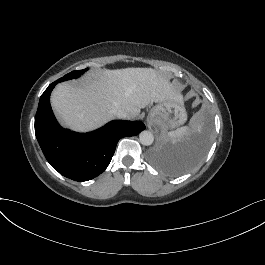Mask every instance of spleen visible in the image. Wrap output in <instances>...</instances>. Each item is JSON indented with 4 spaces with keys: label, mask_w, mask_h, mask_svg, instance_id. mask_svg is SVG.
Returning <instances> with one entry per match:
<instances>
[{
    "label": "spleen",
    "mask_w": 265,
    "mask_h": 265,
    "mask_svg": "<svg viewBox=\"0 0 265 265\" xmlns=\"http://www.w3.org/2000/svg\"><path fill=\"white\" fill-rule=\"evenodd\" d=\"M191 133V129L187 127L178 128L177 130L170 132L169 135L173 138H183Z\"/></svg>",
    "instance_id": "spleen-1"
}]
</instances>
